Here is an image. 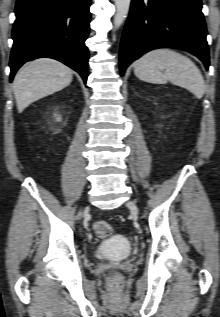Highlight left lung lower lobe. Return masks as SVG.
<instances>
[{
    "instance_id": "0a47b994",
    "label": "left lung lower lobe",
    "mask_w": 220,
    "mask_h": 317,
    "mask_svg": "<svg viewBox=\"0 0 220 317\" xmlns=\"http://www.w3.org/2000/svg\"><path fill=\"white\" fill-rule=\"evenodd\" d=\"M201 0H132L120 48V71L156 48H181L209 67Z\"/></svg>"
}]
</instances>
